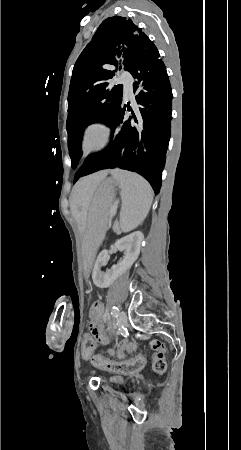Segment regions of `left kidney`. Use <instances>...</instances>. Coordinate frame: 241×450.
I'll return each mask as SVG.
<instances>
[{"instance_id":"left-kidney-1","label":"left kidney","mask_w":241,"mask_h":450,"mask_svg":"<svg viewBox=\"0 0 241 450\" xmlns=\"http://www.w3.org/2000/svg\"><path fill=\"white\" fill-rule=\"evenodd\" d=\"M143 240L142 232H133V234L117 240L115 248L117 250H125V256L122 262H119L117 266H112L111 270H106V272H101V268L107 264L108 250L100 252L92 272V280L95 286L97 288H109L119 276H122L126 270H129L140 254Z\"/></svg>"}]
</instances>
